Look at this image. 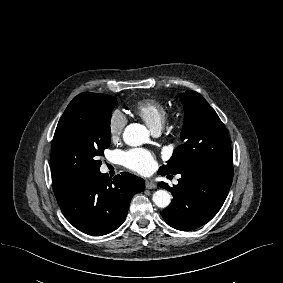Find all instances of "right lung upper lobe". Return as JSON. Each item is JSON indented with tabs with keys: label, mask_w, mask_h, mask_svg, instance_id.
Here are the masks:
<instances>
[{
	"label": "right lung upper lobe",
	"mask_w": 283,
	"mask_h": 283,
	"mask_svg": "<svg viewBox=\"0 0 283 283\" xmlns=\"http://www.w3.org/2000/svg\"><path fill=\"white\" fill-rule=\"evenodd\" d=\"M81 94H91V93H81Z\"/></svg>",
	"instance_id": "obj_1"
}]
</instances>
